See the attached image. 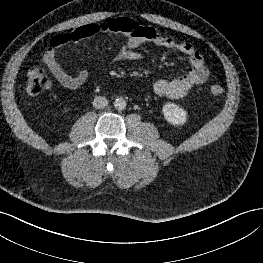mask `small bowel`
<instances>
[{"instance_id":"1","label":"small bowel","mask_w":263,"mask_h":263,"mask_svg":"<svg viewBox=\"0 0 263 263\" xmlns=\"http://www.w3.org/2000/svg\"><path fill=\"white\" fill-rule=\"evenodd\" d=\"M111 33L122 34L126 37V44L118 54L120 59H140V47L144 43L177 50L188 58L190 67L185 74L174 79H159L154 83L153 90L159 96L173 99L182 98L194 86L204 83L209 76V70L202 55L191 43L163 35L153 27L138 25L129 18L111 19L98 24L80 26L71 32L59 33L51 39L50 46L44 53L43 61L62 86L71 90L79 89L87 81L88 72L80 70L75 75L69 74L58 63L57 54L69 44Z\"/></svg>"}]
</instances>
